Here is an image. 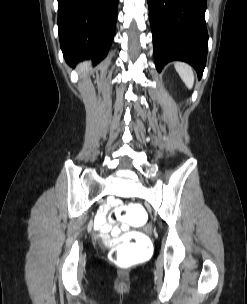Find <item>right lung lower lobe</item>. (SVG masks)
Masks as SVG:
<instances>
[{"label":"right lung lower lobe","instance_id":"98d812e1","mask_svg":"<svg viewBox=\"0 0 247 304\" xmlns=\"http://www.w3.org/2000/svg\"><path fill=\"white\" fill-rule=\"evenodd\" d=\"M118 0H58V28L66 62L94 64L107 55L114 38Z\"/></svg>","mask_w":247,"mask_h":304}]
</instances>
